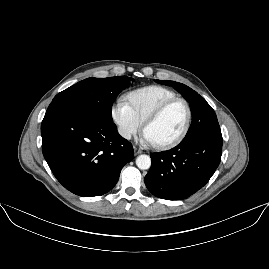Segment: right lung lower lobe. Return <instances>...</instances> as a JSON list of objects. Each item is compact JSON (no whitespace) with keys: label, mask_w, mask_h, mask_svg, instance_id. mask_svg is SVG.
I'll return each instance as SVG.
<instances>
[{"label":"right lung lower lobe","mask_w":269,"mask_h":269,"mask_svg":"<svg viewBox=\"0 0 269 269\" xmlns=\"http://www.w3.org/2000/svg\"><path fill=\"white\" fill-rule=\"evenodd\" d=\"M41 135L42 152L54 176L82 197L110 191L134 155L112 121L63 103L50 104Z\"/></svg>","instance_id":"1"}]
</instances>
